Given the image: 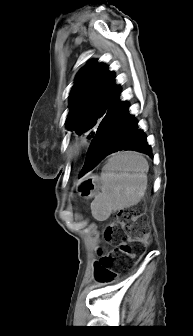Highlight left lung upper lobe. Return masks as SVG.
<instances>
[{"label":"left lung upper lobe","instance_id":"left-lung-upper-lobe-1","mask_svg":"<svg viewBox=\"0 0 193 336\" xmlns=\"http://www.w3.org/2000/svg\"><path fill=\"white\" fill-rule=\"evenodd\" d=\"M119 92L114 73L102 63L90 62L78 73L70 94L68 129L78 133L92 130L93 138L101 120L118 102Z\"/></svg>","mask_w":193,"mask_h":336}]
</instances>
